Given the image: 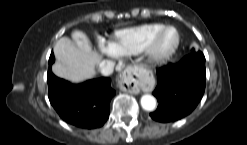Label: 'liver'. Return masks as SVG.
Returning <instances> with one entry per match:
<instances>
[{
    "label": "liver",
    "mask_w": 247,
    "mask_h": 145,
    "mask_svg": "<svg viewBox=\"0 0 247 145\" xmlns=\"http://www.w3.org/2000/svg\"><path fill=\"white\" fill-rule=\"evenodd\" d=\"M72 39L60 38L54 46L56 63L52 66L53 73L69 81L79 84L95 75V66L102 56L93 51L87 36L81 31H74Z\"/></svg>",
    "instance_id": "obj_1"
}]
</instances>
